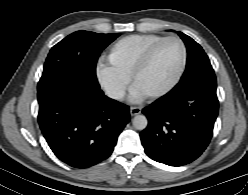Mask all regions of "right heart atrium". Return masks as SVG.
I'll list each match as a JSON object with an SVG mask.
<instances>
[{
	"label": "right heart atrium",
	"instance_id": "1",
	"mask_svg": "<svg viewBox=\"0 0 248 195\" xmlns=\"http://www.w3.org/2000/svg\"><path fill=\"white\" fill-rule=\"evenodd\" d=\"M98 75L102 85L107 90L121 92L127 86L126 78L114 70L112 65L101 66Z\"/></svg>",
	"mask_w": 248,
	"mask_h": 195
}]
</instances>
